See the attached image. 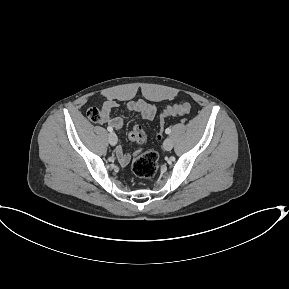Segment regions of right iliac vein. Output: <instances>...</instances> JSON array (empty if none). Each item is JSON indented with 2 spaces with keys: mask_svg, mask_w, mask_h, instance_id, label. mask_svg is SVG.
Segmentation results:
<instances>
[{
  "mask_svg": "<svg viewBox=\"0 0 289 289\" xmlns=\"http://www.w3.org/2000/svg\"><path fill=\"white\" fill-rule=\"evenodd\" d=\"M108 141L111 145H116L117 143V136L114 132H111L109 135H108Z\"/></svg>",
  "mask_w": 289,
  "mask_h": 289,
  "instance_id": "obj_1",
  "label": "right iliac vein"
}]
</instances>
